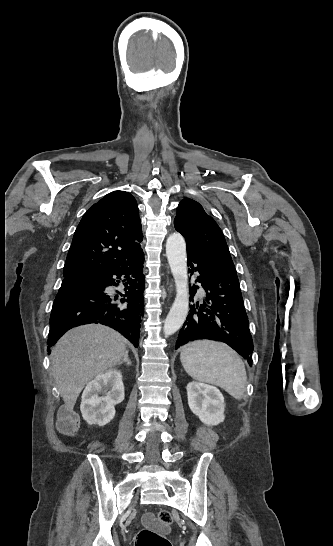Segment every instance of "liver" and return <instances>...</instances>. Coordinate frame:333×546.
I'll return each instance as SVG.
<instances>
[{"label": "liver", "instance_id": "6515ba94", "mask_svg": "<svg viewBox=\"0 0 333 546\" xmlns=\"http://www.w3.org/2000/svg\"><path fill=\"white\" fill-rule=\"evenodd\" d=\"M125 351V338L109 327L85 325L68 331L51 354L52 375L64 400V410L73 412L85 385L116 366Z\"/></svg>", "mask_w": 333, "mask_h": 546}]
</instances>
